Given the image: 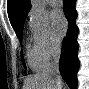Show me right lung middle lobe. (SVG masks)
<instances>
[{
	"instance_id": "obj_1",
	"label": "right lung middle lobe",
	"mask_w": 89,
	"mask_h": 89,
	"mask_svg": "<svg viewBox=\"0 0 89 89\" xmlns=\"http://www.w3.org/2000/svg\"><path fill=\"white\" fill-rule=\"evenodd\" d=\"M23 24H24V22H22V23L15 29L16 35H17V37H18V39H19L20 42L22 41ZM21 55H22V58H23V54H22V53H21ZM23 64H25V63H24V59H23Z\"/></svg>"
}]
</instances>
